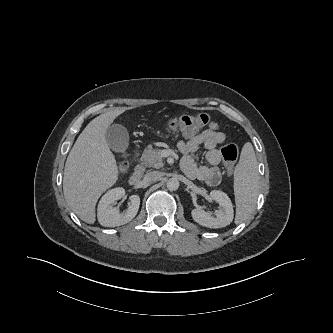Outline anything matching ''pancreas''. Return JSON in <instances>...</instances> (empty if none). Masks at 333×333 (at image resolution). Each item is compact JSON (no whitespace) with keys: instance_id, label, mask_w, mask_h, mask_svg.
Segmentation results:
<instances>
[{"instance_id":"obj_1","label":"pancreas","mask_w":333,"mask_h":333,"mask_svg":"<svg viewBox=\"0 0 333 333\" xmlns=\"http://www.w3.org/2000/svg\"><path fill=\"white\" fill-rule=\"evenodd\" d=\"M143 164L146 167H154L156 169L163 166V159L161 156V150L159 149H146L142 154Z\"/></svg>"}]
</instances>
